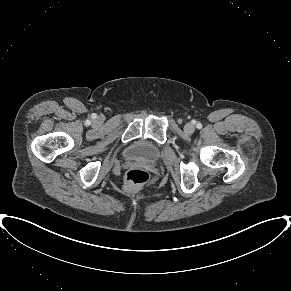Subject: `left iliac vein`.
Instances as JSON below:
<instances>
[{"label":"left iliac vein","mask_w":291,"mask_h":291,"mask_svg":"<svg viewBox=\"0 0 291 291\" xmlns=\"http://www.w3.org/2000/svg\"><path fill=\"white\" fill-rule=\"evenodd\" d=\"M195 130V127L193 124L191 123H187L185 126H184V131L187 133V134H191L193 133Z\"/></svg>","instance_id":"4c4485c4"}]
</instances>
